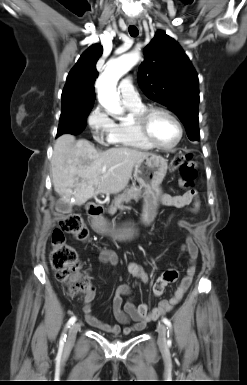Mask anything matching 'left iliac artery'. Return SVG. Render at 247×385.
<instances>
[{"label":"left iliac artery","instance_id":"44dca946","mask_svg":"<svg viewBox=\"0 0 247 385\" xmlns=\"http://www.w3.org/2000/svg\"><path fill=\"white\" fill-rule=\"evenodd\" d=\"M162 321H163L164 324L167 326V328L169 329V331H171L172 325H171L170 320L164 317V318L162 319ZM169 331H168V336H169ZM168 343H171V340H170V339L168 340Z\"/></svg>","mask_w":247,"mask_h":385}]
</instances>
